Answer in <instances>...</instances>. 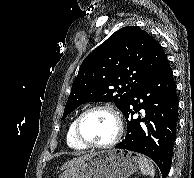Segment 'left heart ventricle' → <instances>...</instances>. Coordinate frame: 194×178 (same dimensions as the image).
Returning <instances> with one entry per match:
<instances>
[{
  "label": "left heart ventricle",
  "instance_id": "b2bd125f",
  "mask_svg": "<svg viewBox=\"0 0 194 178\" xmlns=\"http://www.w3.org/2000/svg\"><path fill=\"white\" fill-rule=\"evenodd\" d=\"M81 134L89 142L103 144L109 142L116 133L113 116L105 111L96 110L88 113L81 122Z\"/></svg>",
  "mask_w": 194,
  "mask_h": 178
}]
</instances>
